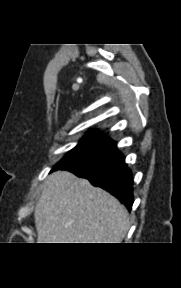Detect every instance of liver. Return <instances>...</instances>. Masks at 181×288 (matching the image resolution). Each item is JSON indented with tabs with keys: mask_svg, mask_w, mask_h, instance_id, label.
<instances>
[{
	"mask_svg": "<svg viewBox=\"0 0 181 288\" xmlns=\"http://www.w3.org/2000/svg\"><path fill=\"white\" fill-rule=\"evenodd\" d=\"M34 218L38 243H121L130 228L115 197L67 171L46 178Z\"/></svg>",
	"mask_w": 181,
	"mask_h": 288,
	"instance_id": "1",
	"label": "liver"
}]
</instances>
